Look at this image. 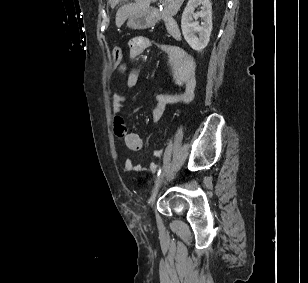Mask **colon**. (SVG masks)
Masks as SVG:
<instances>
[{"mask_svg":"<svg viewBox=\"0 0 308 283\" xmlns=\"http://www.w3.org/2000/svg\"><path fill=\"white\" fill-rule=\"evenodd\" d=\"M113 60L116 65H119L123 58V52L120 47H114L112 51Z\"/></svg>","mask_w":308,"mask_h":283,"instance_id":"obj_1","label":"colon"}]
</instances>
